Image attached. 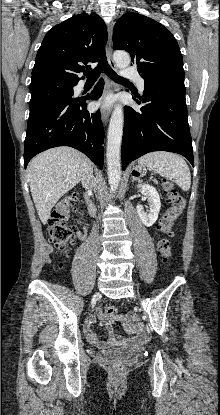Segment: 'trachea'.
<instances>
[{
	"label": "trachea",
	"mask_w": 220,
	"mask_h": 415,
	"mask_svg": "<svg viewBox=\"0 0 220 415\" xmlns=\"http://www.w3.org/2000/svg\"><path fill=\"white\" fill-rule=\"evenodd\" d=\"M102 71H104L115 82H129V80L117 75L115 71L110 67V65L107 62L105 52H103V54L101 55V58L99 60L97 67L93 69L92 71H83V74L88 79H97L102 73Z\"/></svg>",
	"instance_id": "trachea-1"
}]
</instances>
